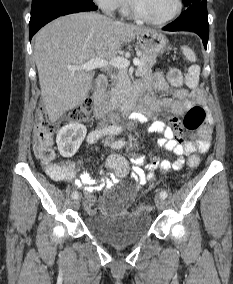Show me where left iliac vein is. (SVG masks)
<instances>
[{
    "label": "left iliac vein",
    "instance_id": "4c4485c4",
    "mask_svg": "<svg viewBox=\"0 0 233 284\" xmlns=\"http://www.w3.org/2000/svg\"><path fill=\"white\" fill-rule=\"evenodd\" d=\"M155 203H156V206L159 210H163L164 207H165V200L164 198H162L161 196H156L155 197Z\"/></svg>",
    "mask_w": 233,
    "mask_h": 284
}]
</instances>
